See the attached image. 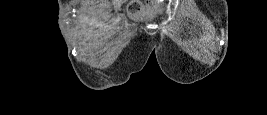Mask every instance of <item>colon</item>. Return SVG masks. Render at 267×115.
<instances>
[{"label":"colon","mask_w":267,"mask_h":115,"mask_svg":"<svg viewBox=\"0 0 267 115\" xmlns=\"http://www.w3.org/2000/svg\"><path fill=\"white\" fill-rule=\"evenodd\" d=\"M137 8H138V3H136V2L130 3L129 7H128L130 12H134Z\"/></svg>","instance_id":"obj_1"}]
</instances>
